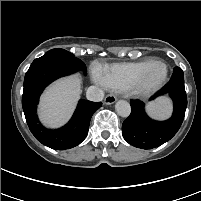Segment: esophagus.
I'll use <instances>...</instances> for the list:
<instances>
[{
    "mask_svg": "<svg viewBox=\"0 0 201 201\" xmlns=\"http://www.w3.org/2000/svg\"><path fill=\"white\" fill-rule=\"evenodd\" d=\"M117 98L114 95H107L104 99V104L111 105L115 103Z\"/></svg>",
    "mask_w": 201,
    "mask_h": 201,
    "instance_id": "1",
    "label": "esophagus"
}]
</instances>
